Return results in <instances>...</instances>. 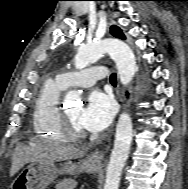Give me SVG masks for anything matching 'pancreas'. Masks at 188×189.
Listing matches in <instances>:
<instances>
[{"label":"pancreas","mask_w":188,"mask_h":189,"mask_svg":"<svg viewBox=\"0 0 188 189\" xmlns=\"http://www.w3.org/2000/svg\"><path fill=\"white\" fill-rule=\"evenodd\" d=\"M62 186H63L62 183H60V184L57 185L58 188H60V187H62Z\"/></svg>","instance_id":"cf45deb5"}]
</instances>
